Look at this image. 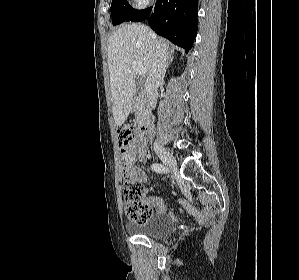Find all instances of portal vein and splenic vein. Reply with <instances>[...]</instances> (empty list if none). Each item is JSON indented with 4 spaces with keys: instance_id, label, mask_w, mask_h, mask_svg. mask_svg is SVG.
Returning <instances> with one entry per match:
<instances>
[{
    "instance_id": "obj_1",
    "label": "portal vein and splenic vein",
    "mask_w": 299,
    "mask_h": 280,
    "mask_svg": "<svg viewBox=\"0 0 299 280\" xmlns=\"http://www.w3.org/2000/svg\"><path fill=\"white\" fill-rule=\"evenodd\" d=\"M132 67L138 75H144L146 73V68L139 62L133 61Z\"/></svg>"
}]
</instances>
